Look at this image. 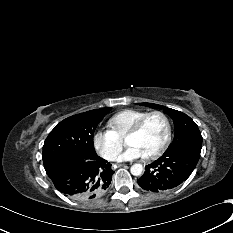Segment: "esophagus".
Instances as JSON below:
<instances>
[{"instance_id": "esophagus-1", "label": "esophagus", "mask_w": 233, "mask_h": 233, "mask_svg": "<svg viewBox=\"0 0 233 233\" xmlns=\"http://www.w3.org/2000/svg\"><path fill=\"white\" fill-rule=\"evenodd\" d=\"M118 165V167H123V166H125V164H123V163H119V164H117Z\"/></svg>"}]
</instances>
